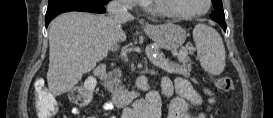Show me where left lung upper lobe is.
Returning <instances> with one entry per match:
<instances>
[{
    "instance_id": "left-lung-upper-lobe-1",
    "label": "left lung upper lobe",
    "mask_w": 273,
    "mask_h": 118,
    "mask_svg": "<svg viewBox=\"0 0 273 118\" xmlns=\"http://www.w3.org/2000/svg\"><path fill=\"white\" fill-rule=\"evenodd\" d=\"M215 10L211 13L210 17L219 24L225 23L224 10L222 0H212Z\"/></svg>"
}]
</instances>
